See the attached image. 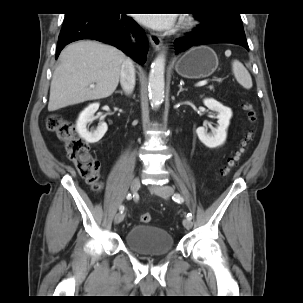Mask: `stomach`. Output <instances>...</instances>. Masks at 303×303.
I'll return each instance as SVG.
<instances>
[{"mask_svg":"<svg viewBox=\"0 0 303 303\" xmlns=\"http://www.w3.org/2000/svg\"><path fill=\"white\" fill-rule=\"evenodd\" d=\"M217 67L216 53L204 45L191 48L175 64L176 72L189 79L209 77Z\"/></svg>","mask_w":303,"mask_h":303,"instance_id":"0dacf381","label":"stomach"}]
</instances>
